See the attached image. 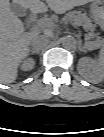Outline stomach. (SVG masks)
Wrapping results in <instances>:
<instances>
[{
    "instance_id": "obj_1",
    "label": "stomach",
    "mask_w": 104,
    "mask_h": 137,
    "mask_svg": "<svg viewBox=\"0 0 104 137\" xmlns=\"http://www.w3.org/2000/svg\"><path fill=\"white\" fill-rule=\"evenodd\" d=\"M101 5H102L101 0H94L93 4L91 5L92 14L95 18L102 17L103 7Z\"/></svg>"
}]
</instances>
